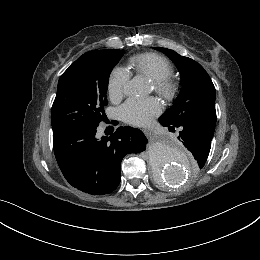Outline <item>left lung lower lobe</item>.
Here are the masks:
<instances>
[{"label": "left lung lower lobe", "instance_id": "1", "mask_svg": "<svg viewBox=\"0 0 260 260\" xmlns=\"http://www.w3.org/2000/svg\"><path fill=\"white\" fill-rule=\"evenodd\" d=\"M159 122L162 126L168 127L170 131H175V127L179 128L178 139L191 151L198 165L204 166L210 152L211 141L214 135L213 130L194 121L174 125L162 116L159 118Z\"/></svg>", "mask_w": 260, "mask_h": 260}]
</instances>
